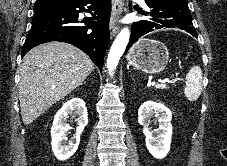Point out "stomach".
I'll use <instances>...</instances> for the list:
<instances>
[{"mask_svg": "<svg viewBox=\"0 0 227 166\" xmlns=\"http://www.w3.org/2000/svg\"><path fill=\"white\" fill-rule=\"evenodd\" d=\"M127 60L135 69L155 74L160 73L167 66L169 52L163 43L142 38L129 50Z\"/></svg>", "mask_w": 227, "mask_h": 166, "instance_id": "1", "label": "stomach"}]
</instances>
